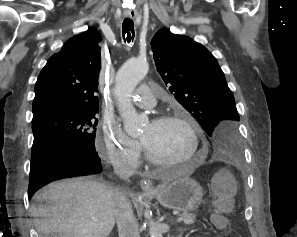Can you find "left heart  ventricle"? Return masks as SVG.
Masks as SVG:
<instances>
[{
    "instance_id": "b2bd125f",
    "label": "left heart ventricle",
    "mask_w": 297,
    "mask_h": 237,
    "mask_svg": "<svg viewBox=\"0 0 297 237\" xmlns=\"http://www.w3.org/2000/svg\"><path fill=\"white\" fill-rule=\"evenodd\" d=\"M139 139L152 154L163 160H179L192 151L191 136L180 123H148L143 127Z\"/></svg>"
}]
</instances>
